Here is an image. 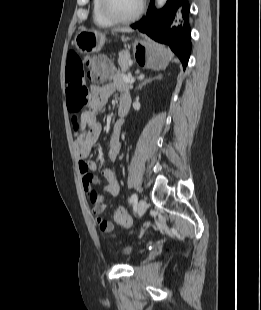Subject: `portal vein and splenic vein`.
I'll list each match as a JSON object with an SVG mask.
<instances>
[{
  "mask_svg": "<svg viewBox=\"0 0 261 310\" xmlns=\"http://www.w3.org/2000/svg\"><path fill=\"white\" fill-rule=\"evenodd\" d=\"M122 79L125 83L132 84L135 82V79L132 76L122 75Z\"/></svg>",
  "mask_w": 261,
  "mask_h": 310,
  "instance_id": "1",
  "label": "portal vein and splenic vein"
}]
</instances>
